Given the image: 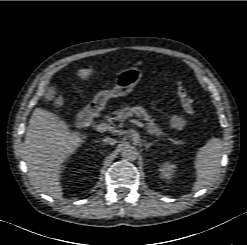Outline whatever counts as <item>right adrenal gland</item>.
<instances>
[{
    "label": "right adrenal gland",
    "mask_w": 247,
    "mask_h": 245,
    "mask_svg": "<svg viewBox=\"0 0 247 245\" xmlns=\"http://www.w3.org/2000/svg\"><path fill=\"white\" fill-rule=\"evenodd\" d=\"M102 146H105L106 144H104V143H100Z\"/></svg>",
    "instance_id": "2a0ac1e0"
}]
</instances>
